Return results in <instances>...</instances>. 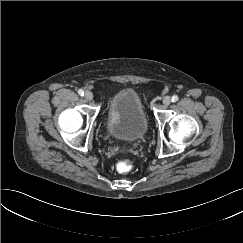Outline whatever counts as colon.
Listing matches in <instances>:
<instances>
[{
    "mask_svg": "<svg viewBox=\"0 0 243 243\" xmlns=\"http://www.w3.org/2000/svg\"><path fill=\"white\" fill-rule=\"evenodd\" d=\"M116 169L119 173H127L132 169V163L128 160L120 161L117 163Z\"/></svg>",
    "mask_w": 243,
    "mask_h": 243,
    "instance_id": "1",
    "label": "colon"
}]
</instances>
